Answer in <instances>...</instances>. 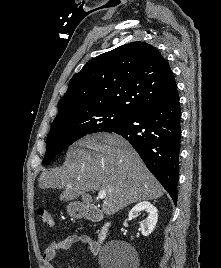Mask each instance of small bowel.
I'll return each instance as SVG.
<instances>
[{"instance_id": "c3829d8e", "label": "small bowel", "mask_w": 221, "mask_h": 268, "mask_svg": "<svg viewBox=\"0 0 221 268\" xmlns=\"http://www.w3.org/2000/svg\"><path fill=\"white\" fill-rule=\"evenodd\" d=\"M75 244L85 245L92 254L99 251L98 243L90 236L71 234L63 239L53 241L43 252L42 259L44 268H55L53 261L60 250H67Z\"/></svg>"}]
</instances>
